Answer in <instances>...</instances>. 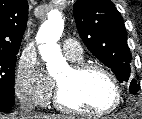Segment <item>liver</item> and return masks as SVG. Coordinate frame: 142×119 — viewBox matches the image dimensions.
<instances>
[{"instance_id":"liver-1","label":"liver","mask_w":142,"mask_h":119,"mask_svg":"<svg viewBox=\"0 0 142 119\" xmlns=\"http://www.w3.org/2000/svg\"><path fill=\"white\" fill-rule=\"evenodd\" d=\"M0 119H28L24 116H5L0 114ZM30 119H66L65 116H55V115H47V114H35L33 118Z\"/></svg>"}]
</instances>
